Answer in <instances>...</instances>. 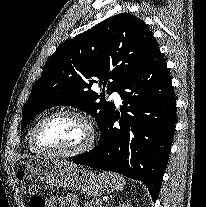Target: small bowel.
Masks as SVG:
<instances>
[{
  "label": "small bowel",
  "mask_w": 206,
  "mask_h": 207,
  "mask_svg": "<svg viewBox=\"0 0 206 207\" xmlns=\"http://www.w3.org/2000/svg\"><path fill=\"white\" fill-rule=\"evenodd\" d=\"M46 207H79L73 197H56L47 201Z\"/></svg>",
  "instance_id": "obj_1"
}]
</instances>
